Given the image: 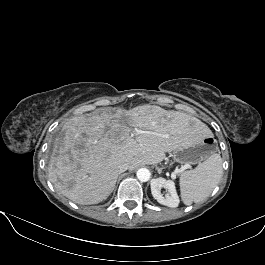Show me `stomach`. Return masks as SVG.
<instances>
[{"label":"stomach","mask_w":265,"mask_h":265,"mask_svg":"<svg viewBox=\"0 0 265 265\" xmlns=\"http://www.w3.org/2000/svg\"><path fill=\"white\" fill-rule=\"evenodd\" d=\"M213 139L204 136L199 141L189 142L174 151V158L182 164H197L208 158L214 151Z\"/></svg>","instance_id":"stomach-1"}]
</instances>
